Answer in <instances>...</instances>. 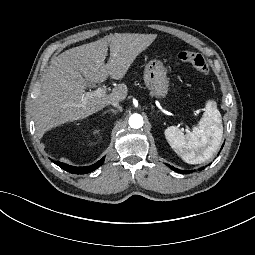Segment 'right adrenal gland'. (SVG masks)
Instances as JSON below:
<instances>
[{"label":"right adrenal gland","instance_id":"obj_1","mask_svg":"<svg viewBox=\"0 0 255 255\" xmlns=\"http://www.w3.org/2000/svg\"><path fill=\"white\" fill-rule=\"evenodd\" d=\"M111 111H112L113 113H115V110L112 109ZM108 112H109V111H105V112L102 114V116L105 115V114L108 113Z\"/></svg>","mask_w":255,"mask_h":255}]
</instances>
